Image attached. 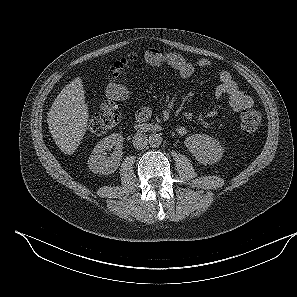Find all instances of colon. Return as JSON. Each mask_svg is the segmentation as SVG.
Masks as SVG:
<instances>
[{"label": "colon", "mask_w": 297, "mask_h": 297, "mask_svg": "<svg viewBox=\"0 0 297 297\" xmlns=\"http://www.w3.org/2000/svg\"><path fill=\"white\" fill-rule=\"evenodd\" d=\"M134 57L128 55L115 62L109 72L110 79H118L133 64ZM120 113L111 108H105L96 114L89 122L88 128L92 134L102 135L116 127L120 122ZM262 122V114L258 110H247L240 118V131L244 134L255 132Z\"/></svg>", "instance_id": "1"}]
</instances>
